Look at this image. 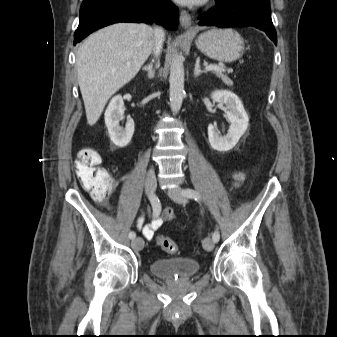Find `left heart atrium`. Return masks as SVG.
<instances>
[{
  "label": "left heart atrium",
  "mask_w": 337,
  "mask_h": 337,
  "mask_svg": "<svg viewBox=\"0 0 337 337\" xmlns=\"http://www.w3.org/2000/svg\"><path fill=\"white\" fill-rule=\"evenodd\" d=\"M176 1L184 5H200L205 0H176Z\"/></svg>",
  "instance_id": "39dd6f15"
}]
</instances>
